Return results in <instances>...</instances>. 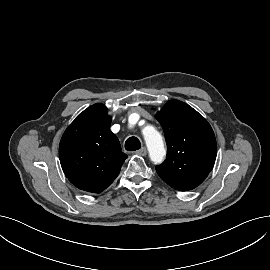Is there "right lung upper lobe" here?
Here are the masks:
<instances>
[{"mask_svg":"<svg viewBox=\"0 0 270 270\" xmlns=\"http://www.w3.org/2000/svg\"><path fill=\"white\" fill-rule=\"evenodd\" d=\"M110 124L106 106L97 103L80 113L61 138L63 172L81 190L102 192L118 176L127 158Z\"/></svg>","mask_w":270,"mask_h":270,"instance_id":"1","label":"right lung upper lobe"}]
</instances>
